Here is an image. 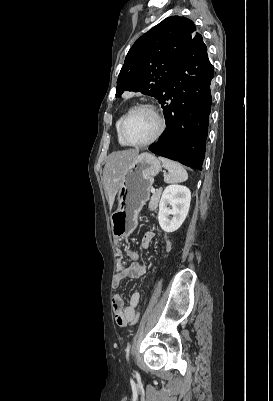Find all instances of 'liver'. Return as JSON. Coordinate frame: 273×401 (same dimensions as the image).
Segmentation results:
<instances>
[{
  "instance_id": "obj_1",
  "label": "liver",
  "mask_w": 273,
  "mask_h": 401,
  "mask_svg": "<svg viewBox=\"0 0 273 401\" xmlns=\"http://www.w3.org/2000/svg\"><path fill=\"white\" fill-rule=\"evenodd\" d=\"M139 150L130 148V150H117L111 152L103 168V184L108 194V203L110 211L114 205L115 196L124 180V170L128 168L131 162L137 160Z\"/></svg>"
}]
</instances>
